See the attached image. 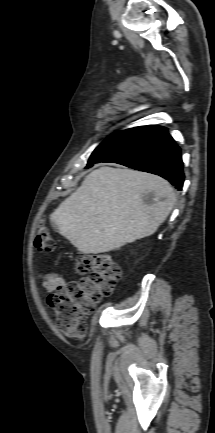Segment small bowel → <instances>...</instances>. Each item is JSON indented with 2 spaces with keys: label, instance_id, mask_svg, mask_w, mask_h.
<instances>
[{
  "label": "small bowel",
  "instance_id": "obj_1",
  "mask_svg": "<svg viewBox=\"0 0 215 433\" xmlns=\"http://www.w3.org/2000/svg\"><path fill=\"white\" fill-rule=\"evenodd\" d=\"M43 285L48 292H53L57 288L65 286L66 279L63 275L50 273L45 277Z\"/></svg>",
  "mask_w": 215,
  "mask_h": 433
}]
</instances>
